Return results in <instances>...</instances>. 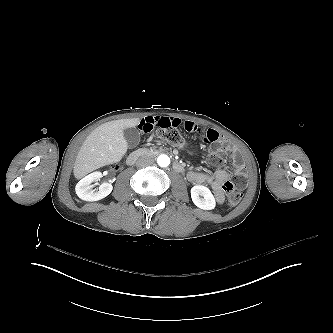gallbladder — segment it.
Segmentation results:
<instances>
[{
    "label": "gallbladder",
    "mask_w": 333,
    "mask_h": 333,
    "mask_svg": "<svg viewBox=\"0 0 333 333\" xmlns=\"http://www.w3.org/2000/svg\"><path fill=\"white\" fill-rule=\"evenodd\" d=\"M123 135L129 148L136 147L140 142V133L135 127L124 129Z\"/></svg>",
    "instance_id": "obj_1"
}]
</instances>
